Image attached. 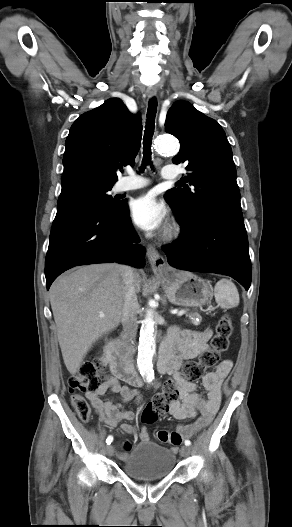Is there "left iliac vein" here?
<instances>
[{
    "label": "left iliac vein",
    "mask_w": 292,
    "mask_h": 527,
    "mask_svg": "<svg viewBox=\"0 0 292 527\" xmlns=\"http://www.w3.org/2000/svg\"><path fill=\"white\" fill-rule=\"evenodd\" d=\"M180 454L183 456V457H187L189 456L190 454V448L188 446H183L180 450Z\"/></svg>",
    "instance_id": "obj_1"
}]
</instances>
